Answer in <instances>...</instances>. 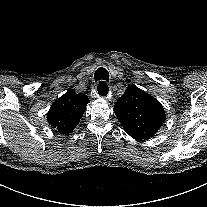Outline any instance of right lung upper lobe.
Instances as JSON below:
<instances>
[{
	"label": "right lung upper lobe",
	"mask_w": 207,
	"mask_h": 207,
	"mask_svg": "<svg viewBox=\"0 0 207 207\" xmlns=\"http://www.w3.org/2000/svg\"><path fill=\"white\" fill-rule=\"evenodd\" d=\"M88 102L85 94L68 90L50 107L47 114L49 124L59 132L69 134L78 125Z\"/></svg>",
	"instance_id": "cb5924a9"
}]
</instances>
